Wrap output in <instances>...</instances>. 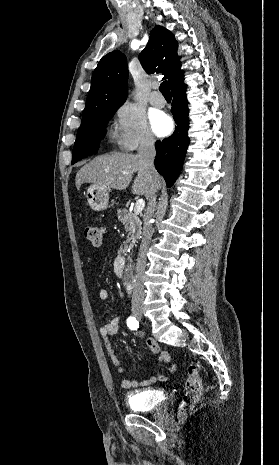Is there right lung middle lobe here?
Returning a JSON list of instances; mask_svg holds the SVG:
<instances>
[{"instance_id": "obj_1", "label": "right lung middle lobe", "mask_w": 279, "mask_h": 465, "mask_svg": "<svg viewBox=\"0 0 279 465\" xmlns=\"http://www.w3.org/2000/svg\"><path fill=\"white\" fill-rule=\"evenodd\" d=\"M116 110H104L92 122L79 127L72 153V164L97 153L99 142L104 136L106 124Z\"/></svg>"}]
</instances>
